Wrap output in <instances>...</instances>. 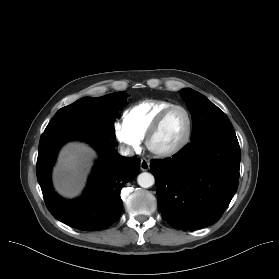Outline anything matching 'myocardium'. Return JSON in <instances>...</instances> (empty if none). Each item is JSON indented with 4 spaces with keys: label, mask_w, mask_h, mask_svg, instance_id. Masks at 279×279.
I'll use <instances>...</instances> for the list:
<instances>
[{
    "label": "myocardium",
    "mask_w": 279,
    "mask_h": 279,
    "mask_svg": "<svg viewBox=\"0 0 279 279\" xmlns=\"http://www.w3.org/2000/svg\"><path fill=\"white\" fill-rule=\"evenodd\" d=\"M182 110L186 116L187 119V128L186 132L183 136V138L173 147L168 148V149H156L153 144V138L157 134L158 130L160 129L162 123L164 122L165 118L168 116L170 112L173 110ZM192 131H193V119L190 111L182 105L178 104H173L164 110H162L158 116L154 119L152 124L150 125L147 134L145 136V144L147 149L154 155L161 157V158H166V157H171L174 156L178 153H180L190 142L191 136H192Z\"/></svg>",
    "instance_id": "myocardium-1"
}]
</instances>
